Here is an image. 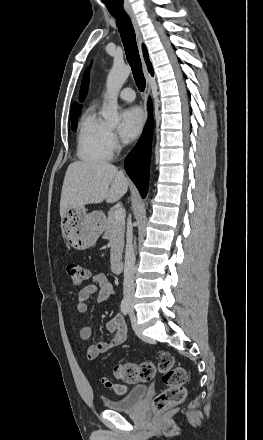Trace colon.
I'll return each mask as SVG.
<instances>
[{
    "instance_id": "obj_1",
    "label": "colon",
    "mask_w": 263,
    "mask_h": 440,
    "mask_svg": "<svg viewBox=\"0 0 263 440\" xmlns=\"http://www.w3.org/2000/svg\"><path fill=\"white\" fill-rule=\"evenodd\" d=\"M66 273L72 285L80 286L89 277L86 267L77 263L66 266ZM157 371L162 374V382L165 388L153 399L152 408L161 412L169 407L181 404L186 397L184 387L187 375L183 367L175 364L174 357L168 352H162L158 356L157 367L151 362L122 363L114 367V376L128 384L151 381ZM102 384L117 394H123L126 390L122 384L115 383L108 378H102Z\"/></svg>"
}]
</instances>
